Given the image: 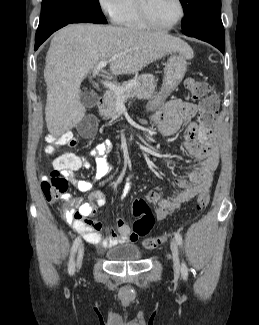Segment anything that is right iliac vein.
I'll use <instances>...</instances> for the list:
<instances>
[{
  "instance_id": "63e3f726",
  "label": "right iliac vein",
  "mask_w": 259,
  "mask_h": 325,
  "mask_svg": "<svg viewBox=\"0 0 259 325\" xmlns=\"http://www.w3.org/2000/svg\"><path fill=\"white\" fill-rule=\"evenodd\" d=\"M84 256V246L81 245L78 249V254H77V268L80 269L82 266V260Z\"/></svg>"
}]
</instances>
